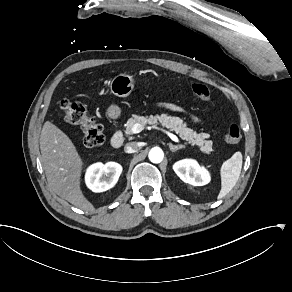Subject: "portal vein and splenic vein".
<instances>
[{
    "label": "portal vein and splenic vein",
    "instance_id": "portal-vein-and-splenic-vein-1",
    "mask_svg": "<svg viewBox=\"0 0 292 292\" xmlns=\"http://www.w3.org/2000/svg\"><path fill=\"white\" fill-rule=\"evenodd\" d=\"M142 130H143V128L141 127L140 124H135L134 127L132 128V132H133V133H139V132H141ZM167 134H168V136H169L173 141H175V142H178V141H179V139H178V137H177L176 135H174V134H172V133H170V132H168Z\"/></svg>",
    "mask_w": 292,
    "mask_h": 292
}]
</instances>
